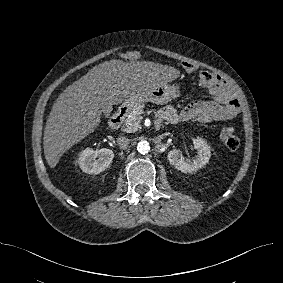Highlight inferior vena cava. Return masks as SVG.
Here are the masks:
<instances>
[{
    "mask_svg": "<svg viewBox=\"0 0 283 283\" xmlns=\"http://www.w3.org/2000/svg\"><path fill=\"white\" fill-rule=\"evenodd\" d=\"M117 143H118L119 147L124 150L128 147V145L130 143V139H128L124 136H120V137L117 138Z\"/></svg>",
    "mask_w": 283,
    "mask_h": 283,
    "instance_id": "inferior-vena-cava-1",
    "label": "inferior vena cava"
}]
</instances>
